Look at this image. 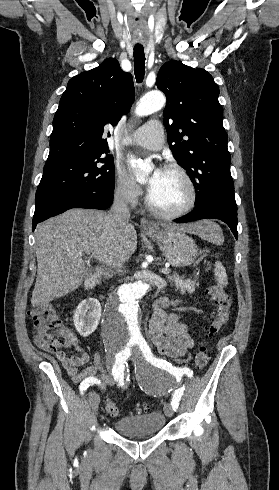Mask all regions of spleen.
Returning a JSON list of instances; mask_svg holds the SVG:
<instances>
[{"instance_id":"obj_1","label":"spleen","mask_w":279,"mask_h":490,"mask_svg":"<svg viewBox=\"0 0 279 490\" xmlns=\"http://www.w3.org/2000/svg\"><path fill=\"white\" fill-rule=\"evenodd\" d=\"M201 236L202 238H205V240H208V242H212V244H217V246H222L224 242L220 226H218V224H215V222H211V220H203ZM214 274L215 280H217L218 284H221V286H227L228 278L226 270L224 266H222L221 262H216Z\"/></svg>"}]
</instances>
